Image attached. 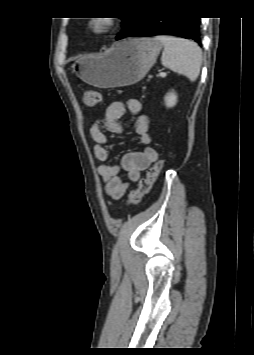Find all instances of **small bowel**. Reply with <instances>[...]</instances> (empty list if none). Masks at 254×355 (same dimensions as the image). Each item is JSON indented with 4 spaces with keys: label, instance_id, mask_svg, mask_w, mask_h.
Instances as JSON below:
<instances>
[{
    "label": "small bowel",
    "instance_id": "obj_1",
    "mask_svg": "<svg viewBox=\"0 0 254 355\" xmlns=\"http://www.w3.org/2000/svg\"><path fill=\"white\" fill-rule=\"evenodd\" d=\"M142 109V103L137 99H129L127 102L113 101L106 109L103 124L94 123L90 128V134L95 143L93 151L95 157L101 162L98 166V174L104 183V191L109 198V204L121 199L130 184L138 181L141 173L158 159V152L148 146L151 142L149 119L142 114ZM126 111L135 118L134 132L140 142L147 147L143 151L125 153L121 157L120 164H109L111 156L108 150L107 133L121 132L119 121ZM121 170L127 172V179L121 176Z\"/></svg>",
    "mask_w": 254,
    "mask_h": 355
}]
</instances>
